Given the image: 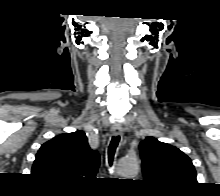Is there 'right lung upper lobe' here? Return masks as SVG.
Returning <instances> with one entry per match:
<instances>
[{
  "label": "right lung upper lobe",
  "instance_id": "obj_1",
  "mask_svg": "<svg viewBox=\"0 0 220 196\" xmlns=\"http://www.w3.org/2000/svg\"><path fill=\"white\" fill-rule=\"evenodd\" d=\"M100 164L98 152L88 145L83 131L60 134L44 143L34 161L32 175L43 182L73 188L94 178Z\"/></svg>",
  "mask_w": 220,
  "mask_h": 196
}]
</instances>
